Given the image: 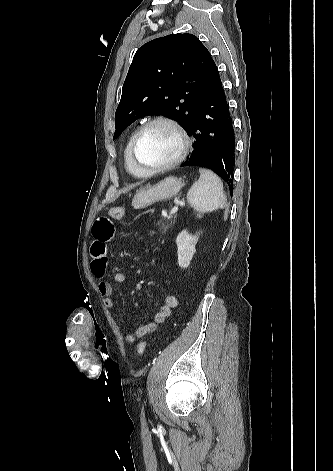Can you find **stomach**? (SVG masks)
I'll return each mask as SVG.
<instances>
[{"label": "stomach", "mask_w": 333, "mask_h": 471, "mask_svg": "<svg viewBox=\"0 0 333 471\" xmlns=\"http://www.w3.org/2000/svg\"><path fill=\"white\" fill-rule=\"evenodd\" d=\"M182 188L181 179L170 176L155 185L140 188L132 198L134 209H144L159 202L166 201L176 196Z\"/></svg>", "instance_id": "1"}]
</instances>
